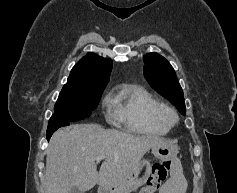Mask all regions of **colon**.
Instances as JSON below:
<instances>
[{
    "instance_id": "5ec220e1",
    "label": "colon",
    "mask_w": 237,
    "mask_h": 193,
    "mask_svg": "<svg viewBox=\"0 0 237 193\" xmlns=\"http://www.w3.org/2000/svg\"><path fill=\"white\" fill-rule=\"evenodd\" d=\"M171 170V162L157 163L152 168V175L141 193H154L166 181Z\"/></svg>"
}]
</instances>
